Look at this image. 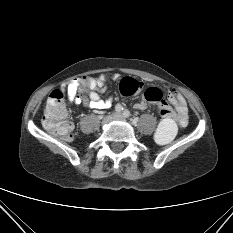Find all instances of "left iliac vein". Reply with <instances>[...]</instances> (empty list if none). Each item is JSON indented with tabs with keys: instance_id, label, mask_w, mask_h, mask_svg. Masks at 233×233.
<instances>
[{
	"instance_id": "left-iliac-vein-1",
	"label": "left iliac vein",
	"mask_w": 233,
	"mask_h": 233,
	"mask_svg": "<svg viewBox=\"0 0 233 233\" xmlns=\"http://www.w3.org/2000/svg\"><path fill=\"white\" fill-rule=\"evenodd\" d=\"M115 119H123V116L118 114Z\"/></svg>"
}]
</instances>
